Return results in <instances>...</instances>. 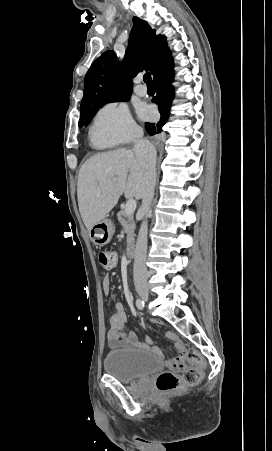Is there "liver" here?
Here are the masks:
<instances>
[{"label":"liver","instance_id":"6515ba94","mask_svg":"<svg viewBox=\"0 0 272 451\" xmlns=\"http://www.w3.org/2000/svg\"><path fill=\"white\" fill-rule=\"evenodd\" d=\"M145 170L132 150L100 152L84 162L77 184L79 212L87 229L106 218L120 196L141 200Z\"/></svg>","mask_w":272,"mask_h":451}]
</instances>
